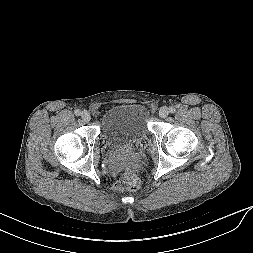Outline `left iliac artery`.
<instances>
[{
    "label": "left iliac artery",
    "mask_w": 253,
    "mask_h": 253,
    "mask_svg": "<svg viewBox=\"0 0 253 253\" xmlns=\"http://www.w3.org/2000/svg\"><path fill=\"white\" fill-rule=\"evenodd\" d=\"M169 111H170L171 113H174V112L176 111V108H175L174 106H171V107L169 108Z\"/></svg>",
    "instance_id": "obj_1"
}]
</instances>
